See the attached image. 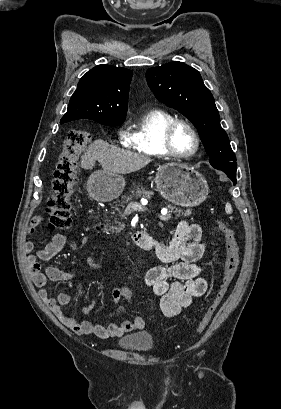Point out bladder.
<instances>
[{"mask_svg":"<svg viewBox=\"0 0 281 409\" xmlns=\"http://www.w3.org/2000/svg\"><path fill=\"white\" fill-rule=\"evenodd\" d=\"M116 347L127 352L147 354L156 347L154 334L148 330H140L129 335L119 336Z\"/></svg>","mask_w":281,"mask_h":409,"instance_id":"1","label":"bladder"}]
</instances>
